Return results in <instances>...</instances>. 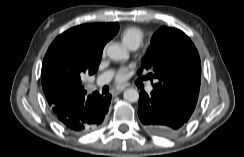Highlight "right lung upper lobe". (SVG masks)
<instances>
[{
  "label": "right lung upper lobe",
  "mask_w": 244,
  "mask_h": 157,
  "mask_svg": "<svg viewBox=\"0 0 244 157\" xmlns=\"http://www.w3.org/2000/svg\"><path fill=\"white\" fill-rule=\"evenodd\" d=\"M118 30V23L84 24L67 30L52 42L41 71L47 102L86 94L82 78L97 71L105 44Z\"/></svg>",
  "instance_id": "right-lung-upper-lobe-1"
}]
</instances>
